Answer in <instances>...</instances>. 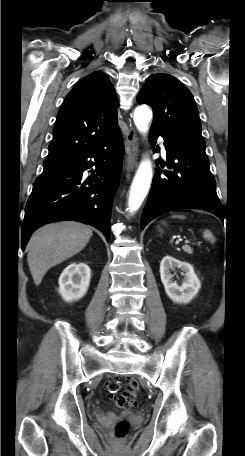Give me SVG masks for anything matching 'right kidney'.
I'll return each instance as SVG.
<instances>
[{
    "mask_svg": "<svg viewBox=\"0 0 245 456\" xmlns=\"http://www.w3.org/2000/svg\"><path fill=\"white\" fill-rule=\"evenodd\" d=\"M91 270L85 263H71L59 277V293L67 301L81 299L90 284Z\"/></svg>",
    "mask_w": 245,
    "mask_h": 456,
    "instance_id": "1",
    "label": "right kidney"
}]
</instances>
